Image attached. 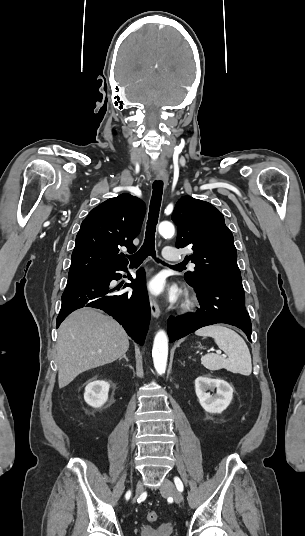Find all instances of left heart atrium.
<instances>
[{
    "label": "left heart atrium",
    "instance_id": "obj_1",
    "mask_svg": "<svg viewBox=\"0 0 305 536\" xmlns=\"http://www.w3.org/2000/svg\"><path fill=\"white\" fill-rule=\"evenodd\" d=\"M149 291L152 294H160L163 291V283L159 278H154L149 283Z\"/></svg>",
    "mask_w": 305,
    "mask_h": 536
}]
</instances>
